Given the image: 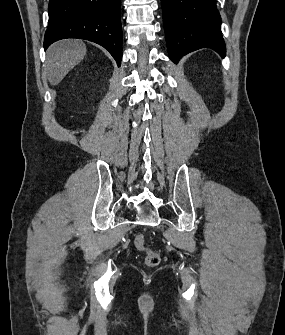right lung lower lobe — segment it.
<instances>
[{"label":"right lung lower lobe","mask_w":285,"mask_h":335,"mask_svg":"<svg viewBox=\"0 0 285 335\" xmlns=\"http://www.w3.org/2000/svg\"><path fill=\"white\" fill-rule=\"evenodd\" d=\"M44 49L55 41L78 38L107 49L117 65L122 59L120 0H50Z\"/></svg>","instance_id":"right-lung-lower-lobe-1"}]
</instances>
